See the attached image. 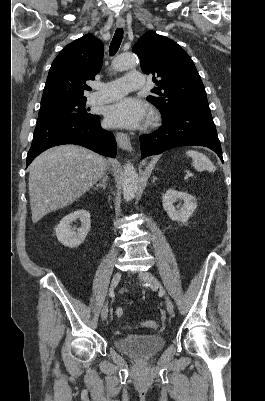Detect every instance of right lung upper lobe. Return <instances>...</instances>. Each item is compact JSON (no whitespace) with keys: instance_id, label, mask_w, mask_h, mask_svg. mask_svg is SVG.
Here are the masks:
<instances>
[{"instance_id":"right-lung-upper-lobe-1","label":"right lung upper lobe","mask_w":265,"mask_h":401,"mask_svg":"<svg viewBox=\"0 0 265 401\" xmlns=\"http://www.w3.org/2000/svg\"><path fill=\"white\" fill-rule=\"evenodd\" d=\"M104 47L92 34L65 46L53 61L41 99V104L56 100L86 98L84 90H90L85 82L94 80L100 71Z\"/></svg>"}]
</instances>
